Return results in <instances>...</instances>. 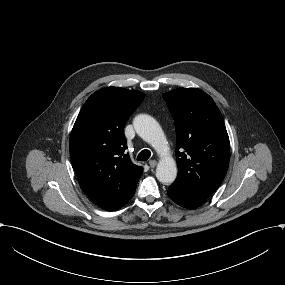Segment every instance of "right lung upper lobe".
<instances>
[{"instance_id": "1", "label": "right lung upper lobe", "mask_w": 285, "mask_h": 285, "mask_svg": "<svg viewBox=\"0 0 285 285\" xmlns=\"http://www.w3.org/2000/svg\"><path fill=\"white\" fill-rule=\"evenodd\" d=\"M137 90L107 87L93 93L73 126L69 149L78 180L102 209L114 211L133 196L143 168L133 164L124 126L143 101Z\"/></svg>"}]
</instances>
